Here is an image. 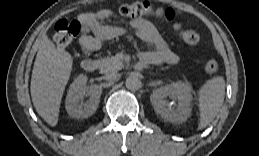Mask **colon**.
Masks as SVG:
<instances>
[{"label": "colon", "mask_w": 259, "mask_h": 156, "mask_svg": "<svg viewBox=\"0 0 259 156\" xmlns=\"http://www.w3.org/2000/svg\"><path fill=\"white\" fill-rule=\"evenodd\" d=\"M119 13L128 18L152 17L157 20L171 23L175 29H180L177 13L172 8H155L148 2H136L120 6ZM82 24L78 20H59L55 24L53 40L57 47L65 48L69 46L79 35ZM181 38L189 44L199 41V34L190 29L180 31ZM204 69L208 74H214L218 70V63L215 59H208Z\"/></svg>", "instance_id": "obj_1"}]
</instances>
